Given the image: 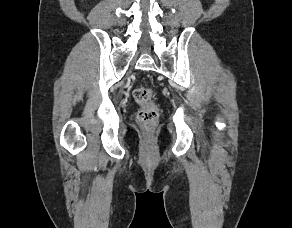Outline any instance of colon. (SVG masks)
Wrapping results in <instances>:
<instances>
[{
  "mask_svg": "<svg viewBox=\"0 0 292 228\" xmlns=\"http://www.w3.org/2000/svg\"><path fill=\"white\" fill-rule=\"evenodd\" d=\"M133 96L141 106L137 114V120L146 131L151 132L159 119V111L154 102L155 93L151 88L139 87L134 90Z\"/></svg>",
  "mask_w": 292,
  "mask_h": 228,
  "instance_id": "5ec220e1",
  "label": "colon"
}]
</instances>
